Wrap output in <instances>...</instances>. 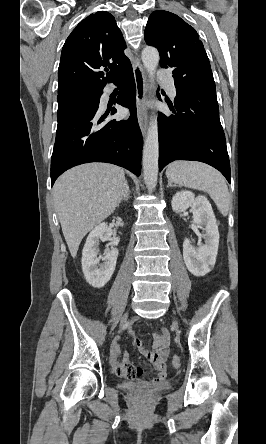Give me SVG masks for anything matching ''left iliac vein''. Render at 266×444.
<instances>
[{
	"instance_id": "1",
	"label": "left iliac vein",
	"mask_w": 266,
	"mask_h": 444,
	"mask_svg": "<svg viewBox=\"0 0 266 444\" xmlns=\"http://www.w3.org/2000/svg\"><path fill=\"white\" fill-rule=\"evenodd\" d=\"M174 325H175V327H176V328L178 327V324H177V322H176V321H174Z\"/></svg>"
}]
</instances>
